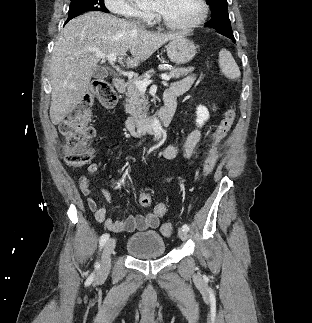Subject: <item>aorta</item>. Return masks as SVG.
Here are the masks:
<instances>
[{"label":"aorta","mask_w":312,"mask_h":323,"mask_svg":"<svg viewBox=\"0 0 312 323\" xmlns=\"http://www.w3.org/2000/svg\"><path fill=\"white\" fill-rule=\"evenodd\" d=\"M151 128L154 132V136H156L157 140H160V138H162L163 136V128L160 124V120H157V118H153V120H151Z\"/></svg>","instance_id":"aorta-1"}]
</instances>
